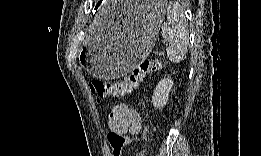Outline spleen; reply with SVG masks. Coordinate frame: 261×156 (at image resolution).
Masks as SVG:
<instances>
[{
  "instance_id": "1",
  "label": "spleen",
  "mask_w": 261,
  "mask_h": 156,
  "mask_svg": "<svg viewBox=\"0 0 261 156\" xmlns=\"http://www.w3.org/2000/svg\"><path fill=\"white\" fill-rule=\"evenodd\" d=\"M162 37L168 41L166 49L168 59L177 63L188 51V28L183 11L176 3L167 8V21L162 24Z\"/></svg>"
}]
</instances>
